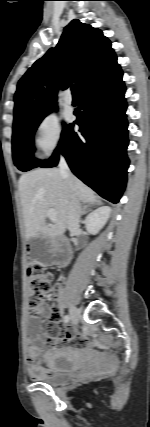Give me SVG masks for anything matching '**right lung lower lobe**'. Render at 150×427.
I'll list each match as a JSON object with an SVG mask.
<instances>
[{
  "label": "right lung lower lobe",
  "instance_id": "obj_1",
  "mask_svg": "<svg viewBox=\"0 0 150 427\" xmlns=\"http://www.w3.org/2000/svg\"><path fill=\"white\" fill-rule=\"evenodd\" d=\"M122 75L117 65L80 92L78 118L64 127L60 148L41 165L55 167L61 150L72 172L112 203L125 189L129 165ZM74 124L80 126L79 133L73 131Z\"/></svg>",
  "mask_w": 150,
  "mask_h": 427
}]
</instances>
